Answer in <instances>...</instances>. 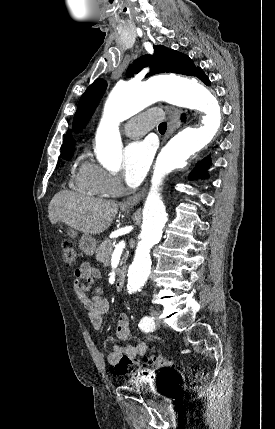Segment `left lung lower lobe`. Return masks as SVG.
I'll list each match as a JSON object with an SVG mask.
<instances>
[{
  "instance_id": "obj_1",
  "label": "left lung lower lobe",
  "mask_w": 275,
  "mask_h": 429,
  "mask_svg": "<svg viewBox=\"0 0 275 429\" xmlns=\"http://www.w3.org/2000/svg\"><path fill=\"white\" fill-rule=\"evenodd\" d=\"M203 83L210 85L208 77L203 73L201 69L197 71L196 75ZM211 163L210 158H206L203 162L196 165L195 169L191 172L190 178H196L204 175L206 167Z\"/></svg>"
}]
</instances>
